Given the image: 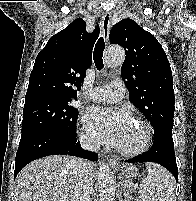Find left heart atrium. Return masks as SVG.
Masks as SVG:
<instances>
[{
    "label": "left heart atrium",
    "mask_w": 196,
    "mask_h": 201,
    "mask_svg": "<svg viewBox=\"0 0 196 201\" xmlns=\"http://www.w3.org/2000/svg\"><path fill=\"white\" fill-rule=\"evenodd\" d=\"M83 121L95 139L116 146L132 123L127 111L98 106L90 107L85 112Z\"/></svg>",
    "instance_id": "left-heart-atrium-1"
}]
</instances>
